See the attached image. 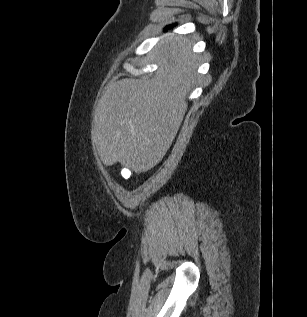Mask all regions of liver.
I'll list each match as a JSON object with an SVG mask.
<instances>
[{
	"label": "liver",
	"mask_w": 307,
	"mask_h": 317,
	"mask_svg": "<svg viewBox=\"0 0 307 317\" xmlns=\"http://www.w3.org/2000/svg\"><path fill=\"white\" fill-rule=\"evenodd\" d=\"M185 37H168L153 49L152 78L109 83L96 107L91 131L101 161L119 162L137 173L156 166L187 111L186 97L198 75V56Z\"/></svg>",
	"instance_id": "6515ba94"
}]
</instances>
